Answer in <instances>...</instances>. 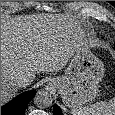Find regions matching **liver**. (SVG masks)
<instances>
[{"label": "liver", "instance_id": "1", "mask_svg": "<svg viewBox=\"0 0 115 115\" xmlns=\"http://www.w3.org/2000/svg\"><path fill=\"white\" fill-rule=\"evenodd\" d=\"M84 32L74 21L51 14L17 16L1 23V105L17 94L14 82L35 73L57 72L82 44Z\"/></svg>", "mask_w": 115, "mask_h": 115}]
</instances>
